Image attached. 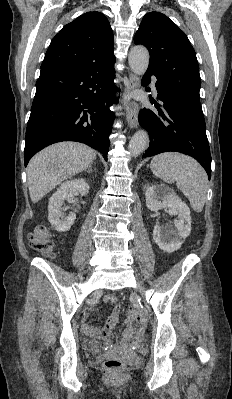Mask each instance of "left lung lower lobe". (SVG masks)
<instances>
[{"mask_svg": "<svg viewBox=\"0 0 232 399\" xmlns=\"http://www.w3.org/2000/svg\"><path fill=\"white\" fill-rule=\"evenodd\" d=\"M151 75L155 74L149 71L145 73L143 86L150 83ZM156 90L160 104L152 98L150 102L158 113L144 108L138 117L140 125L150 136V145L143 158L168 151L181 152L195 158L204 167L210 180L211 154L204 116L197 114L158 78Z\"/></svg>", "mask_w": 232, "mask_h": 399, "instance_id": "left-lung-lower-lobe-1", "label": "left lung lower lobe"}]
</instances>
